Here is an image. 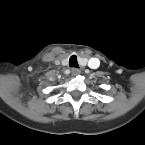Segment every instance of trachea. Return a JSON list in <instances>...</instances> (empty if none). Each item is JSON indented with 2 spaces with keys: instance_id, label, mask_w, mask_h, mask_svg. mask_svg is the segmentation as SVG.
Returning <instances> with one entry per match:
<instances>
[{
  "instance_id": "3493384b",
  "label": "trachea",
  "mask_w": 145,
  "mask_h": 145,
  "mask_svg": "<svg viewBox=\"0 0 145 145\" xmlns=\"http://www.w3.org/2000/svg\"><path fill=\"white\" fill-rule=\"evenodd\" d=\"M69 66L70 67H75V68H78L79 65H78V62H77V57L75 55H72L69 59Z\"/></svg>"
}]
</instances>
